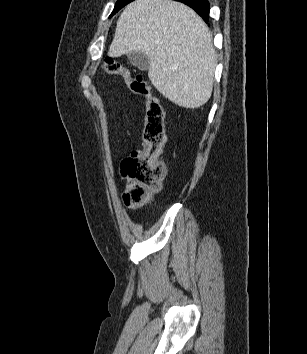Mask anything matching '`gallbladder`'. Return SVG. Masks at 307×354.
Returning a JSON list of instances; mask_svg holds the SVG:
<instances>
[{
	"instance_id": "obj_1",
	"label": "gallbladder",
	"mask_w": 307,
	"mask_h": 354,
	"mask_svg": "<svg viewBox=\"0 0 307 354\" xmlns=\"http://www.w3.org/2000/svg\"><path fill=\"white\" fill-rule=\"evenodd\" d=\"M129 62L142 71H147L150 67L148 56L142 52H131L127 55Z\"/></svg>"
}]
</instances>
